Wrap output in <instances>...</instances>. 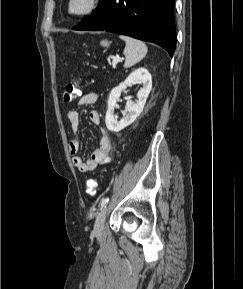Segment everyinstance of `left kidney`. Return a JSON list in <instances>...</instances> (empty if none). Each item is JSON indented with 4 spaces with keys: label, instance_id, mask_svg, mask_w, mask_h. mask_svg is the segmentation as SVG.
Listing matches in <instances>:
<instances>
[{
    "label": "left kidney",
    "instance_id": "1",
    "mask_svg": "<svg viewBox=\"0 0 243 289\" xmlns=\"http://www.w3.org/2000/svg\"><path fill=\"white\" fill-rule=\"evenodd\" d=\"M140 82L142 83V88L137 93V102L128 100L126 102V112L123 114V118L117 121L114 117V109L116 107V102L119 99L123 90L127 87L132 86V84ZM152 88V77L147 69L139 68L132 72L127 79L120 83L117 87L113 88L108 99V108L105 117V123L108 130L113 132H119L125 127L133 123L136 118L143 111L146 99Z\"/></svg>",
    "mask_w": 243,
    "mask_h": 289
}]
</instances>
